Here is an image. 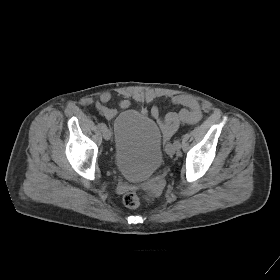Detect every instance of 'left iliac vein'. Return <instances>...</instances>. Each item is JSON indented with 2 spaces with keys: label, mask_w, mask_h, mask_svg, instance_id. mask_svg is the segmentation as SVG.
Masks as SVG:
<instances>
[{
  "label": "left iliac vein",
  "mask_w": 280,
  "mask_h": 280,
  "mask_svg": "<svg viewBox=\"0 0 280 280\" xmlns=\"http://www.w3.org/2000/svg\"><path fill=\"white\" fill-rule=\"evenodd\" d=\"M165 150L168 155H174L177 150V147L174 144L169 143L167 144Z\"/></svg>",
  "instance_id": "left-iliac-vein-1"
}]
</instances>
